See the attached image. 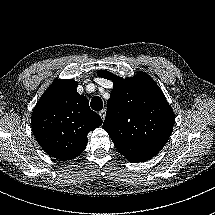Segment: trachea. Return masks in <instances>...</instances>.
Listing matches in <instances>:
<instances>
[{
    "label": "trachea",
    "instance_id": "obj_1",
    "mask_svg": "<svg viewBox=\"0 0 215 215\" xmlns=\"http://www.w3.org/2000/svg\"><path fill=\"white\" fill-rule=\"evenodd\" d=\"M91 108L95 111H100L103 108V102L102 99L98 96H95L92 100H91Z\"/></svg>",
    "mask_w": 215,
    "mask_h": 215
}]
</instances>
